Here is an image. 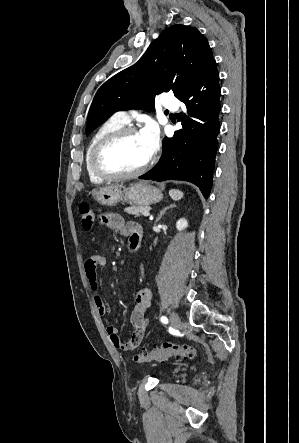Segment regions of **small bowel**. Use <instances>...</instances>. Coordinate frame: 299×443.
Segmentation results:
<instances>
[{
    "mask_svg": "<svg viewBox=\"0 0 299 443\" xmlns=\"http://www.w3.org/2000/svg\"><path fill=\"white\" fill-rule=\"evenodd\" d=\"M99 222L103 226L114 229L118 233L128 236V244L136 240L141 242L143 231L142 227L137 222H125L117 213H103L99 217ZM107 263V259L99 255H93L85 262L86 277L93 291L98 290L97 268L99 266H106ZM95 302L99 315H106L107 307L99 295L95 296ZM150 304L151 293L149 289H140L136 293L135 304L130 315V321L134 330L127 341L120 338L118 329L115 326H108L106 328V333L115 348L126 353H132L139 347L149 326L148 310ZM114 321L117 323L118 319L114 317Z\"/></svg>",
    "mask_w": 299,
    "mask_h": 443,
    "instance_id": "c3829d8e",
    "label": "small bowel"
}]
</instances>
